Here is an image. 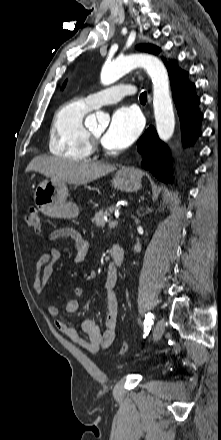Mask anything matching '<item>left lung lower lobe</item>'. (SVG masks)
<instances>
[{
	"instance_id": "0a47b994",
	"label": "left lung lower lobe",
	"mask_w": 221,
	"mask_h": 440,
	"mask_svg": "<svg viewBox=\"0 0 221 440\" xmlns=\"http://www.w3.org/2000/svg\"><path fill=\"white\" fill-rule=\"evenodd\" d=\"M173 99L181 123L184 144L193 143L200 135L203 115L199 111V98L195 95V85L187 80L188 73L167 65ZM137 150L143 156L142 167L148 169L159 180L168 182L170 154L160 141L154 127L150 126L137 142Z\"/></svg>"
}]
</instances>
